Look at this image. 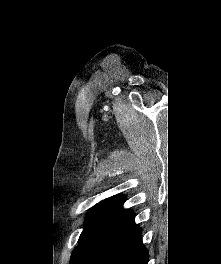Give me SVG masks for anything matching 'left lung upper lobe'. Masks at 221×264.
<instances>
[{"instance_id":"1","label":"left lung upper lobe","mask_w":221,"mask_h":264,"mask_svg":"<svg viewBox=\"0 0 221 264\" xmlns=\"http://www.w3.org/2000/svg\"><path fill=\"white\" fill-rule=\"evenodd\" d=\"M125 200L122 195H117L105 199L90 209L87 214L84 230L79 238L80 242L111 210Z\"/></svg>"}]
</instances>
